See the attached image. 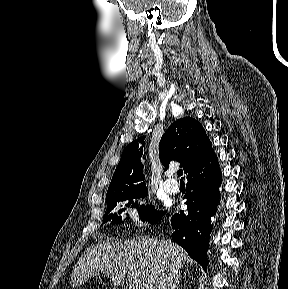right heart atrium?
I'll return each mask as SVG.
<instances>
[{
    "label": "right heart atrium",
    "mask_w": 288,
    "mask_h": 289,
    "mask_svg": "<svg viewBox=\"0 0 288 289\" xmlns=\"http://www.w3.org/2000/svg\"><path fill=\"white\" fill-rule=\"evenodd\" d=\"M144 202L137 200L133 206L129 209L130 218L136 223H142L144 220Z\"/></svg>",
    "instance_id": "right-heart-atrium-1"
}]
</instances>
